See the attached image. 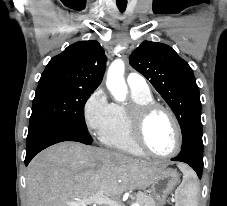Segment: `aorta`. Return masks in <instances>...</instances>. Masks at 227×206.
Returning a JSON list of instances; mask_svg holds the SVG:
<instances>
[{"label":"aorta","mask_w":227,"mask_h":206,"mask_svg":"<svg viewBox=\"0 0 227 206\" xmlns=\"http://www.w3.org/2000/svg\"><path fill=\"white\" fill-rule=\"evenodd\" d=\"M125 65L121 59L114 60L107 73L106 86L113 98L123 102L126 100L128 88L124 79Z\"/></svg>","instance_id":"aorta-1"}]
</instances>
